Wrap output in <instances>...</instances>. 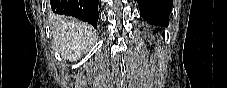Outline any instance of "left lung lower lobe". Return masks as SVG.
<instances>
[{
  "instance_id": "1",
  "label": "left lung lower lobe",
  "mask_w": 227,
  "mask_h": 88,
  "mask_svg": "<svg viewBox=\"0 0 227 88\" xmlns=\"http://www.w3.org/2000/svg\"><path fill=\"white\" fill-rule=\"evenodd\" d=\"M140 14L148 23L166 27L173 6L172 0H137Z\"/></svg>"
}]
</instances>
